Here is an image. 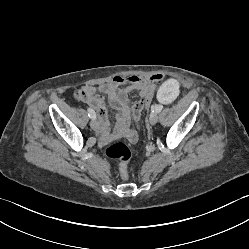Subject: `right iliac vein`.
<instances>
[{
  "label": "right iliac vein",
  "instance_id": "obj_1",
  "mask_svg": "<svg viewBox=\"0 0 249 249\" xmlns=\"http://www.w3.org/2000/svg\"><path fill=\"white\" fill-rule=\"evenodd\" d=\"M90 126L93 130H97L99 125H98V122L95 120V119H92L91 122H90Z\"/></svg>",
  "mask_w": 249,
  "mask_h": 249
}]
</instances>
